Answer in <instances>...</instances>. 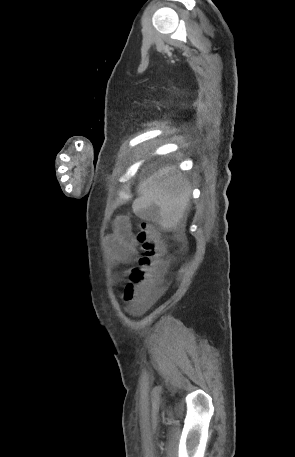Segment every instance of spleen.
<instances>
[{
  "instance_id": "obj_1",
  "label": "spleen",
  "mask_w": 295,
  "mask_h": 457,
  "mask_svg": "<svg viewBox=\"0 0 295 457\" xmlns=\"http://www.w3.org/2000/svg\"><path fill=\"white\" fill-rule=\"evenodd\" d=\"M139 193L133 202V211L149 217L155 211L158 223L172 230L188 206L191 187L173 167L165 166L140 184Z\"/></svg>"
}]
</instances>
